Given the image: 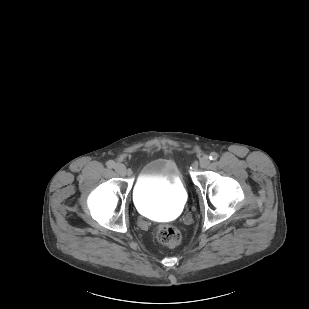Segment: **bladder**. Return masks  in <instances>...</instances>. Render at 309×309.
I'll use <instances>...</instances> for the list:
<instances>
[{
	"label": "bladder",
	"mask_w": 309,
	"mask_h": 309,
	"mask_svg": "<svg viewBox=\"0 0 309 309\" xmlns=\"http://www.w3.org/2000/svg\"><path fill=\"white\" fill-rule=\"evenodd\" d=\"M136 208L158 219L177 215L187 202V190L180 170L173 159L156 158L147 162L136 177Z\"/></svg>",
	"instance_id": "bladder-1"
}]
</instances>
